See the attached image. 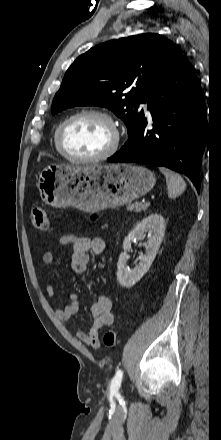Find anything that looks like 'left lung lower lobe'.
Here are the masks:
<instances>
[{
  "mask_svg": "<svg viewBox=\"0 0 221 440\" xmlns=\"http://www.w3.org/2000/svg\"><path fill=\"white\" fill-rule=\"evenodd\" d=\"M154 121L143 118L110 162L165 166L185 174L200 190L199 168L207 140L204 94L193 67L184 56L148 100Z\"/></svg>",
  "mask_w": 221,
  "mask_h": 440,
  "instance_id": "0a47b994",
  "label": "left lung lower lobe"
}]
</instances>
